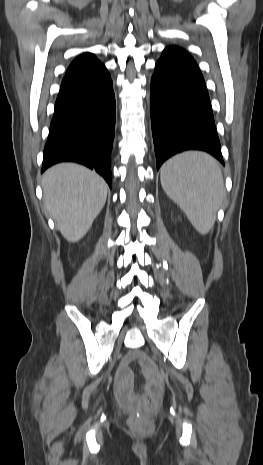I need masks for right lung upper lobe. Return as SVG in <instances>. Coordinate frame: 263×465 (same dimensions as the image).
I'll return each mask as SVG.
<instances>
[{
    "label": "right lung upper lobe",
    "mask_w": 263,
    "mask_h": 465,
    "mask_svg": "<svg viewBox=\"0 0 263 465\" xmlns=\"http://www.w3.org/2000/svg\"><path fill=\"white\" fill-rule=\"evenodd\" d=\"M103 64L95 57L94 54L84 53L77 57L67 69L66 75L75 74L91 69L99 68Z\"/></svg>",
    "instance_id": "1"
}]
</instances>
